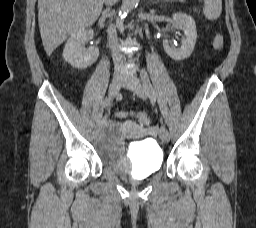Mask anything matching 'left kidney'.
Returning a JSON list of instances; mask_svg holds the SVG:
<instances>
[{"label": "left kidney", "mask_w": 256, "mask_h": 228, "mask_svg": "<svg viewBox=\"0 0 256 228\" xmlns=\"http://www.w3.org/2000/svg\"><path fill=\"white\" fill-rule=\"evenodd\" d=\"M172 26L183 30L185 38L181 40L179 49L170 46V42L167 39L163 41V47L169 57L176 61H181L188 58L194 50L197 39L196 24L191 16L185 13H175Z\"/></svg>", "instance_id": "left-kidney-1"}]
</instances>
